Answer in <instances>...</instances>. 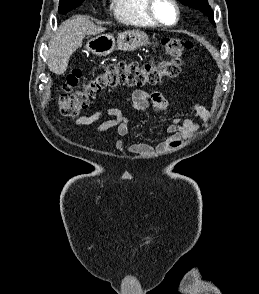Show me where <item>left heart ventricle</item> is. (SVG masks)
I'll use <instances>...</instances> for the list:
<instances>
[{
  "mask_svg": "<svg viewBox=\"0 0 259 294\" xmlns=\"http://www.w3.org/2000/svg\"><path fill=\"white\" fill-rule=\"evenodd\" d=\"M155 13L158 18L165 23H173L175 20V11L167 0H158L155 3Z\"/></svg>",
  "mask_w": 259,
  "mask_h": 294,
  "instance_id": "obj_1",
  "label": "left heart ventricle"
}]
</instances>
